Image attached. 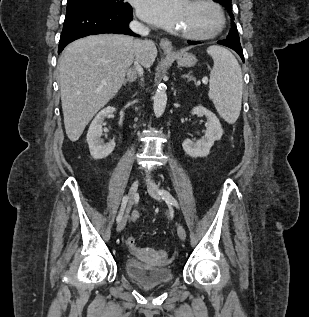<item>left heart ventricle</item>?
Here are the masks:
<instances>
[{
	"mask_svg": "<svg viewBox=\"0 0 309 317\" xmlns=\"http://www.w3.org/2000/svg\"><path fill=\"white\" fill-rule=\"evenodd\" d=\"M215 25L216 16L210 7L188 2L180 29L182 32H208Z\"/></svg>",
	"mask_w": 309,
	"mask_h": 317,
	"instance_id": "1",
	"label": "left heart ventricle"
}]
</instances>
